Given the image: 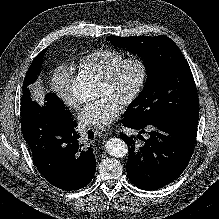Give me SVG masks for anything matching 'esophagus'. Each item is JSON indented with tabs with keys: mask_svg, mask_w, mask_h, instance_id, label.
<instances>
[{
	"mask_svg": "<svg viewBox=\"0 0 219 219\" xmlns=\"http://www.w3.org/2000/svg\"><path fill=\"white\" fill-rule=\"evenodd\" d=\"M95 134L100 138H105L109 135V131L107 129L101 128L95 131Z\"/></svg>",
	"mask_w": 219,
	"mask_h": 219,
	"instance_id": "34e87169",
	"label": "esophagus"
}]
</instances>
